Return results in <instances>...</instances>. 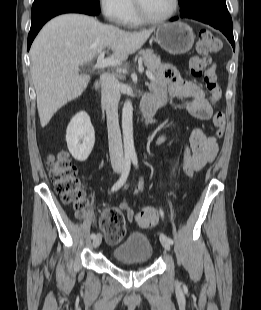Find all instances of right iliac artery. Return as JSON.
Segmentation results:
<instances>
[{
    "mask_svg": "<svg viewBox=\"0 0 261 310\" xmlns=\"http://www.w3.org/2000/svg\"><path fill=\"white\" fill-rule=\"evenodd\" d=\"M130 168H131V158L125 157L124 168H123L122 174H121L120 178L118 179V181L113 185L111 192L117 191L118 189H120L124 185V183L127 180L128 175H129ZM95 236H96L95 233L91 234L92 239H94Z\"/></svg>",
    "mask_w": 261,
    "mask_h": 310,
    "instance_id": "82829eb1",
    "label": "right iliac artery"
}]
</instances>
